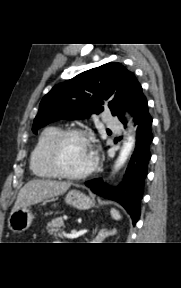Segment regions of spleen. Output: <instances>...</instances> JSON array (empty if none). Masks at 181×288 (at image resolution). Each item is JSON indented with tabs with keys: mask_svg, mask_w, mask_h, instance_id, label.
I'll use <instances>...</instances> for the list:
<instances>
[{
	"mask_svg": "<svg viewBox=\"0 0 181 288\" xmlns=\"http://www.w3.org/2000/svg\"><path fill=\"white\" fill-rule=\"evenodd\" d=\"M110 213H111V216H112L113 219H115V220H120L121 219V215H120L118 210L112 208Z\"/></svg>",
	"mask_w": 181,
	"mask_h": 288,
	"instance_id": "1",
	"label": "spleen"
}]
</instances>
